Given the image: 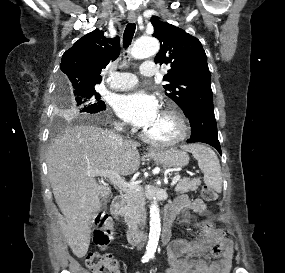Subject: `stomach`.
I'll use <instances>...</instances> for the list:
<instances>
[{
	"label": "stomach",
	"instance_id": "obj_1",
	"mask_svg": "<svg viewBox=\"0 0 285 273\" xmlns=\"http://www.w3.org/2000/svg\"><path fill=\"white\" fill-rule=\"evenodd\" d=\"M150 157L166 167H184L189 163V156L183 150L158 151L150 154Z\"/></svg>",
	"mask_w": 285,
	"mask_h": 273
}]
</instances>
